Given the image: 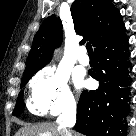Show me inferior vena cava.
I'll return each mask as SVG.
<instances>
[{"label": "inferior vena cava", "instance_id": "inferior-vena-cava-1", "mask_svg": "<svg viewBox=\"0 0 136 136\" xmlns=\"http://www.w3.org/2000/svg\"><path fill=\"white\" fill-rule=\"evenodd\" d=\"M76 122V105L69 104L64 109L63 113L58 117V129L64 132L65 136H71L67 128L73 127Z\"/></svg>", "mask_w": 136, "mask_h": 136}]
</instances>
